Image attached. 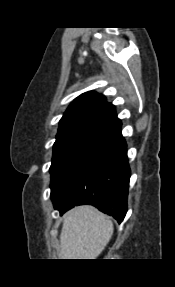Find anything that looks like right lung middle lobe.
Segmentation results:
<instances>
[{
	"mask_svg": "<svg viewBox=\"0 0 175 287\" xmlns=\"http://www.w3.org/2000/svg\"><path fill=\"white\" fill-rule=\"evenodd\" d=\"M115 129L116 127L112 126L88 125L58 131L50 167L51 191L82 158Z\"/></svg>",
	"mask_w": 175,
	"mask_h": 287,
	"instance_id": "right-lung-middle-lobe-1",
	"label": "right lung middle lobe"
}]
</instances>
